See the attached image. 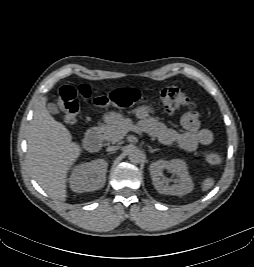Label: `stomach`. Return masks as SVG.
I'll use <instances>...</instances> for the list:
<instances>
[{"label": "stomach", "mask_w": 254, "mask_h": 267, "mask_svg": "<svg viewBox=\"0 0 254 267\" xmlns=\"http://www.w3.org/2000/svg\"><path fill=\"white\" fill-rule=\"evenodd\" d=\"M122 114H120V113H116V112H109L108 114H106L105 116H104V120L106 121V122H111V121H113V120H116V119H122Z\"/></svg>", "instance_id": "0dacf381"}]
</instances>
